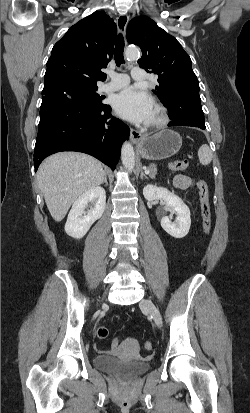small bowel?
Wrapping results in <instances>:
<instances>
[{
    "mask_svg": "<svg viewBox=\"0 0 250 413\" xmlns=\"http://www.w3.org/2000/svg\"><path fill=\"white\" fill-rule=\"evenodd\" d=\"M175 188L180 190H186L194 186V181L186 175H177L173 180Z\"/></svg>",
    "mask_w": 250,
    "mask_h": 413,
    "instance_id": "small-bowel-1",
    "label": "small bowel"
}]
</instances>
